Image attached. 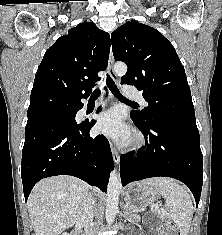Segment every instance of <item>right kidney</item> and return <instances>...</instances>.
Returning a JSON list of instances; mask_svg holds the SVG:
<instances>
[{
  "mask_svg": "<svg viewBox=\"0 0 222 235\" xmlns=\"http://www.w3.org/2000/svg\"><path fill=\"white\" fill-rule=\"evenodd\" d=\"M62 235H69V234L65 232V233H63Z\"/></svg>",
  "mask_w": 222,
  "mask_h": 235,
  "instance_id": "ca27d5eb",
  "label": "right kidney"
}]
</instances>
